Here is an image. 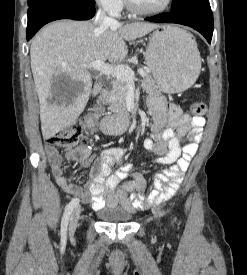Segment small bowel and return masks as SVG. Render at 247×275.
<instances>
[{
    "label": "small bowel",
    "instance_id": "c3829d8e",
    "mask_svg": "<svg viewBox=\"0 0 247 275\" xmlns=\"http://www.w3.org/2000/svg\"><path fill=\"white\" fill-rule=\"evenodd\" d=\"M148 106L154 119L153 136L145 139L144 147L158 155L155 159L157 165L165 166L155 175L152 187L148 186L141 174L132 173V164L113 171L114 165L122 160L124 150L108 148L99 153L86 186L81 188L65 177L59 151L47 144V157L60 188L90 203L95 210L119 206L128 212H135L155 202L170 199L180 187L189 163L198 150L206 121L201 115L184 113L179 106L167 102L162 96L151 95ZM165 124L169 127L163 130ZM186 135L189 141L181 146L179 139ZM76 151L79 153L77 161L80 167H88L94 161L95 155L89 148H78ZM126 179L128 181L120 187V183Z\"/></svg>",
    "mask_w": 247,
    "mask_h": 275
}]
</instances>
